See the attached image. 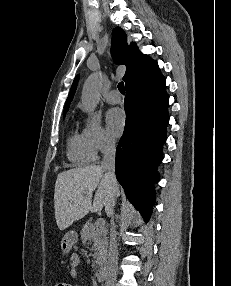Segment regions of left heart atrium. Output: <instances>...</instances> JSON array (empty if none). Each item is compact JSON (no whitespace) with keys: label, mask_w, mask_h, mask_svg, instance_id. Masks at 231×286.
<instances>
[{"label":"left heart atrium","mask_w":231,"mask_h":286,"mask_svg":"<svg viewBox=\"0 0 231 286\" xmlns=\"http://www.w3.org/2000/svg\"><path fill=\"white\" fill-rule=\"evenodd\" d=\"M106 124L109 131L114 135H120L126 125V116L119 108L110 109L106 114Z\"/></svg>","instance_id":"1"}]
</instances>
